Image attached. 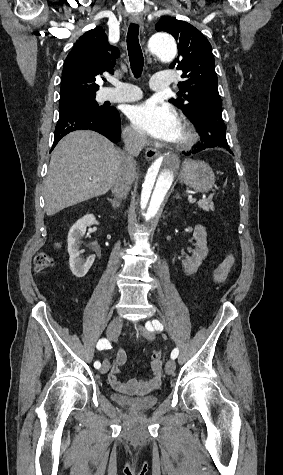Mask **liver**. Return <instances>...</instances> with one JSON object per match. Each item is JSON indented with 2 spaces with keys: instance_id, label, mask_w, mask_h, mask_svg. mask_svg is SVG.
<instances>
[{
  "instance_id": "obj_1",
  "label": "liver",
  "mask_w": 283,
  "mask_h": 475,
  "mask_svg": "<svg viewBox=\"0 0 283 475\" xmlns=\"http://www.w3.org/2000/svg\"><path fill=\"white\" fill-rule=\"evenodd\" d=\"M121 152L92 130H77L52 152L45 180L47 216L106 194L113 186Z\"/></svg>"
}]
</instances>
